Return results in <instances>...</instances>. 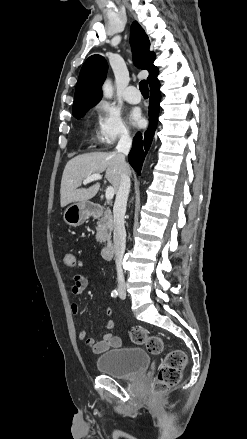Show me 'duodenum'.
Instances as JSON below:
<instances>
[{"mask_svg": "<svg viewBox=\"0 0 247 439\" xmlns=\"http://www.w3.org/2000/svg\"><path fill=\"white\" fill-rule=\"evenodd\" d=\"M88 212L93 215L97 216L101 213L102 208L100 205L97 204H91L87 207ZM114 253V247L112 243L105 244L101 249V255L104 259L109 260L112 258Z\"/></svg>", "mask_w": 247, "mask_h": 439, "instance_id": "duodenum-1", "label": "duodenum"}]
</instances>
